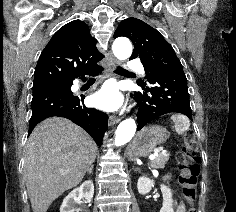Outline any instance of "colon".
Segmentation results:
<instances>
[{"label":"colon","instance_id":"obj_1","mask_svg":"<svg viewBox=\"0 0 236 212\" xmlns=\"http://www.w3.org/2000/svg\"><path fill=\"white\" fill-rule=\"evenodd\" d=\"M179 167V184L184 198L191 206L189 212H196L194 202L197 195V178L200 172L201 153L199 143L189 133L177 156Z\"/></svg>","mask_w":236,"mask_h":212}]
</instances>
